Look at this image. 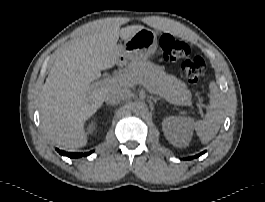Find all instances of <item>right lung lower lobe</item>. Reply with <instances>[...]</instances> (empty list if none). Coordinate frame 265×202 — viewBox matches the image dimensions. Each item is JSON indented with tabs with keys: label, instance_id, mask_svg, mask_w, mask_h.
<instances>
[{
	"label": "right lung lower lobe",
	"instance_id": "98d812e1",
	"mask_svg": "<svg viewBox=\"0 0 265 202\" xmlns=\"http://www.w3.org/2000/svg\"><path fill=\"white\" fill-rule=\"evenodd\" d=\"M61 155L68 156L69 158H78L82 156H88L90 155L93 151L87 152V153H70V152H64L62 150L56 149Z\"/></svg>",
	"mask_w": 265,
	"mask_h": 202
}]
</instances>
